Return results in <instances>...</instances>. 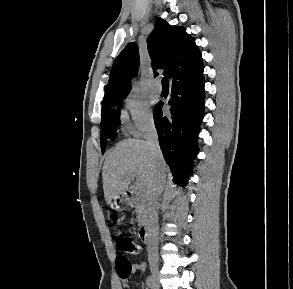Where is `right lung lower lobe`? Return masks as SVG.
Instances as JSON below:
<instances>
[{
	"label": "right lung lower lobe",
	"mask_w": 293,
	"mask_h": 289,
	"mask_svg": "<svg viewBox=\"0 0 293 289\" xmlns=\"http://www.w3.org/2000/svg\"><path fill=\"white\" fill-rule=\"evenodd\" d=\"M204 76L172 85L171 117L163 116L161 102L154 109L159 144L175 181L185 186L198 153L197 135L204 116Z\"/></svg>",
	"instance_id": "98d812e1"
}]
</instances>
